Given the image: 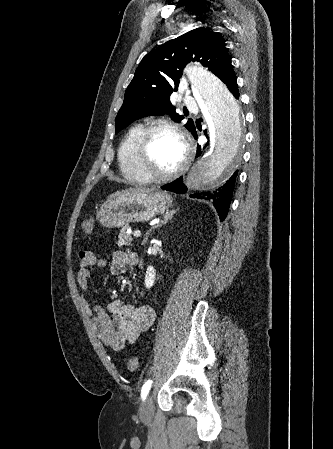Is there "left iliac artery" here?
Masks as SVG:
<instances>
[{
	"instance_id": "1",
	"label": "left iliac artery",
	"mask_w": 333,
	"mask_h": 449,
	"mask_svg": "<svg viewBox=\"0 0 333 449\" xmlns=\"http://www.w3.org/2000/svg\"><path fill=\"white\" fill-rule=\"evenodd\" d=\"M151 384H152V380H147L143 384L142 389H141V398H142V400L146 399V397H147V395L149 393V390L151 388Z\"/></svg>"
}]
</instances>
